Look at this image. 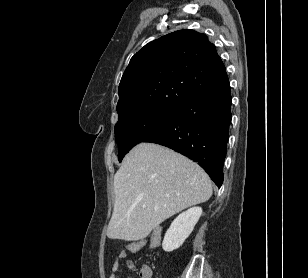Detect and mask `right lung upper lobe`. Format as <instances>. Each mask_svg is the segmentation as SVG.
<instances>
[{
    "label": "right lung upper lobe",
    "instance_id": "right-lung-upper-lobe-1",
    "mask_svg": "<svg viewBox=\"0 0 308 278\" xmlns=\"http://www.w3.org/2000/svg\"><path fill=\"white\" fill-rule=\"evenodd\" d=\"M226 82V68L205 34L172 32L131 58L119 84V120L149 108L179 107Z\"/></svg>",
    "mask_w": 308,
    "mask_h": 278
}]
</instances>
